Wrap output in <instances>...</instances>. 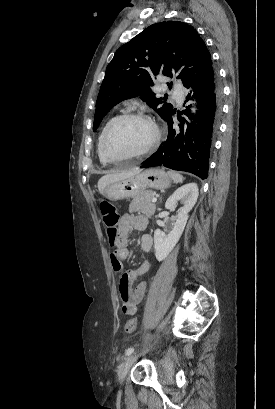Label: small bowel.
I'll return each mask as SVG.
<instances>
[{
	"instance_id": "1",
	"label": "small bowel",
	"mask_w": 275,
	"mask_h": 409,
	"mask_svg": "<svg viewBox=\"0 0 275 409\" xmlns=\"http://www.w3.org/2000/svg\"><path fill=\"white\" fill-rule=\"evenodd\" d=\"M144 221L141 217L125 214L123 215L120 225L119 233L121 238L120 248L111 254V266L115 272H121L118 283L120 298L122 301V312L125 315H133L136 313L138 306L142 303L146 292V281L143 278L150 270V262L144 260L141 265L135 270H126L123 259L130 256L128 248L129 233L132 228H140L139 222ZM153 245V238L149 234L142 235L140 239L141 250L148 254ZM140 278L135 289L132 284L135 280Z\"/></svg>"
}]
</instances>
